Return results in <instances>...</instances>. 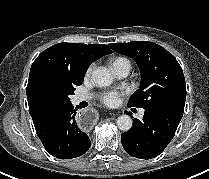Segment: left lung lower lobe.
Segmentation results:
<instances>
[{
    "instance_id": "0a47b994",
    "label": "left lung lower lobe",
    "mask_w": 209,
    "mask_h": 179,
    "mask_svg": "<svg viewBox=\"0 0 209 179\" xmlns=\"http://www.w3.org/2000/svg\"><path fill=\"white\" fill-rule=\"evenodd\" d=\"M144 109L143 119L133 120V127L121 135V142L132 157L151 159L162 153L174 137L184 105H156Z\"/></svg>"
}]
</instances>
